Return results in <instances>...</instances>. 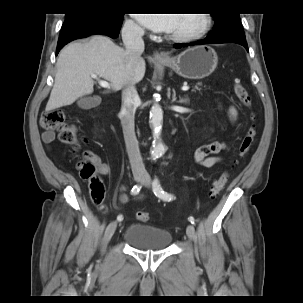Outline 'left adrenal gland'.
Returning a JSON list of instances; mask_svg holds the SVG:
<instances>
[{"mask_svg":"<svg viewBox=\"0 0 303 303\" xmlns=\"http://www.w3.org/2000/svg\"><path fill=\"white\" fill-rule=\"evenodd\" d=\"M173 101H176V93L175 91L173 90ZM187 96H185L184 98H180V100L178 101L179 103H186L187 102Z\"/></svg>","mask_w":303,"mask_h":303,"instance_id":"1","label":"left adrenal gland"}]
</instances>
